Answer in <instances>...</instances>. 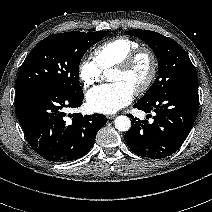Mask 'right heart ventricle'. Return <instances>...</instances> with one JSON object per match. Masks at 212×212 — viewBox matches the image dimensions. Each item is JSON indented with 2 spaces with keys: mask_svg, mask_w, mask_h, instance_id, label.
Masks as SVG:
<instances>
[{
  "mask_svg": "<svg viewBox=\"0 0 212 212\" xmlns=\"http://www.w3.org/2000/svg\"><path fill=\"white\" fill-rule=\"evenodd\" d=\"M137 48H139V44L130 38H112L95 48L94 60L101 70H107L123 61Z\"/></svg>",
  "mask_w": 212,
  "mask_h": 212,
  "instance_id": "right-heart-ventricle-1",
  "label": "right heart ventricle"
}]
</instances>
